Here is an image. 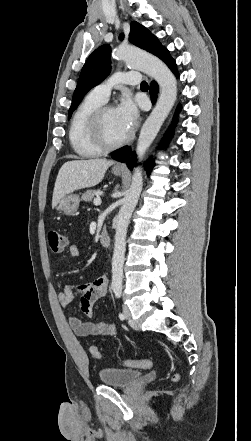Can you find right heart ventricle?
I'll use <instances>...</instances> for the list:
<instances>
[{"mask_svg": "<svg viewBox=\"0 0 251 441\" xmlns=\"http://www.w3.org/2000/svg\"><path fill=\"white\" fill-rule=\"evenodd\" d=\"M105 101L92 91L84 97L72 116L69 141L74 152L82 158L97 157L103 152L91 138L89 122L94 111Z\"/></svg>", "mask_w": 251, "mask_h": 441, "instance_id": "right-heart-ventricle-1", "label": "right heart ventricle"}]
</instances>
